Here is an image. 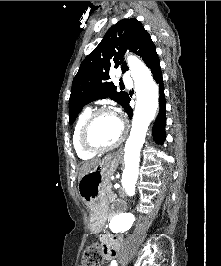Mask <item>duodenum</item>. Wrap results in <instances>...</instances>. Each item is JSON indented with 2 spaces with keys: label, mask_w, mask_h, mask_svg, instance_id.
<instances>
[{
  "label": "duodenum",
  "mask_w": 221,
  "mask_h": 266,
  "mask_svg": "<svg viewBox=\"0 0 221 266\" xmlns=\"http://www.w3.org/2000/svg\"><path fill=\"white\" fill-rule=\"evenodd\" d=\"M115 208H116V209H121V207H120V206H118V205H115Z\"/></svg>",
  "instance_id": "duodenum-1"
}]
</instances>
